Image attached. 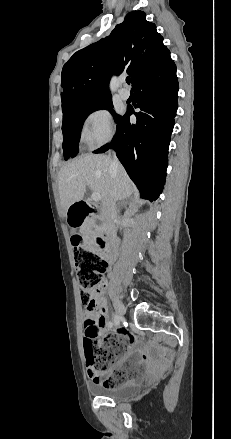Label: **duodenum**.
Wrapping results in <instances>:
<instances>
[{"mask_svg": "<svg viewBox=\"0 0 231 439\" xmlns=\"http://www.w3.org/2000/svg\"><path fill=\"white\" fill-rule=\"evenodd\" d=\"M71 219L79 220L80 224L86 221L90 216L96 215L98 212V206L95 204H89L85 201H79L71 207ZM94 245L105 256L108 261H111V255L107 240L104 235H95Z\"/></svg>", "mask_w": 231, "mask_h": 439, "instance_id": "410a0bca", "label": "duodenum"}]
</instances>
